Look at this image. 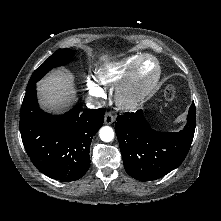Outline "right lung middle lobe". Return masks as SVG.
<instances>
[{"mask_svg":"<svg viewBox=\"0 0 221 221\" xmlns=\"http://www.w3.org/2000/svg\"><path fill=\"white\" fill-rule=\"evenodd\" d=\"M73 54L74 51L69 48L61 49L55 52L38 69L35 70L29 80L26 90L35 85L36 82L39 81L52 68L67 64L71 60Z\"/></svg>","mask_w":221,"mask_h":221,"instance_id":"right-lung-middle-lobe-1","label":"right lung middle lobe"}]
</instances>
